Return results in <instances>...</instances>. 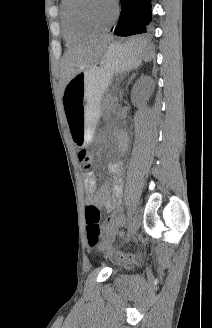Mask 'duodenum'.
<instances>
[{"mask_svg":"<svg viewBox=\"0 0 212 328\" xmlns=\"http://www.w3.org/2000/svg\"><path fill=\"white\" fill-rule=\"evenodd\" d=\"M119 138H120L121 144H123L124 143L123 138L122 137H119Z\"/></svg>","mask_w":212,"mask_h":328,"instance_id":"410a0bca","label":"duodenum"}]
</instances>
